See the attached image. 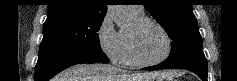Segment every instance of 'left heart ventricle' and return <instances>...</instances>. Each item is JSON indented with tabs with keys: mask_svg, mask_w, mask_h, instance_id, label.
<instances>
[{
	"mask_svg": "<svg viewBox=\"0 0 237 81\" xmlns=\"http://www.w3.org/2000/svg\"><path fill=\"white\" fill-rule=\"evenodd\" d=\"M129 32H133V27ZM135 46L142 59L154 61L165 54L167 42L161 31L150 25L135 33Z\"/></svg>",
	"mask_w": 237,
	"mask_h": 81,
	"instance_id": "left-heart-ventricle-1",
	"label": "left heart ventricle"
}]
</instances>
